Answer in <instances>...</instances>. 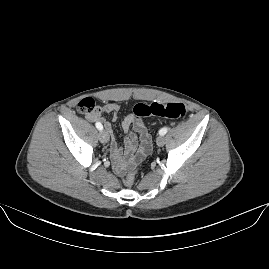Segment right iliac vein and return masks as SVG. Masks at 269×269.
Listing matches in <instances>:
<instances>
[{
    "instance_id": "63e3f726",
    "label": "right iliac vein",
    "mask_w": 269,
    "mask_h": 269,
    "mask_svg": "<svg viewBox=\"0 0 269 269\" xmlns=\"http://www.w3.org/2000/svg\"><path fill=\"white\" fill-rule=\"evenodd\" d=\"M99 140L104 144L109 141V134L106 130H101L99 132Z\"/></svg>"
}]
</instances>
